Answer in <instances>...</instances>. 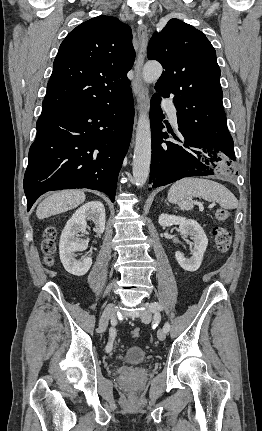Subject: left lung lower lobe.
<instances>
[{
    "instance_id": "0a47b994",
    "label": "left lung lower lobe",
    "mask_w": 262,
    "mask_h": 431,
    "mask_svg": "<svg viewBox=\"0 0 262 431\" xmlns=\"http://www.w3.org/2000/svg\"><path fill=\"white\" fill-rule=\"evenodd\" d=\"M162 114L160 97L154 94L150 107L152 158L149 183L153 184L152 188L185 177L231 173L235 154L230 134L221 139L206 140L179 130V137L170 132L174 141H164L168 134L162 132Z\"/></svg>"
}]
</instances>
